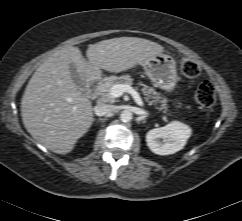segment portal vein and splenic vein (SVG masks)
Wrapping results in <instances>:
<instances>
[{"label": "portal vein and splenic vein", "mask_w": 242, "mask_h": 221, "mask_svg": "<svg viewBox=\"0 0 242 221\" xmlns=\"http://www.w3.org/2000/svg\"><path fill=\"white\" fill-rule=\"evenodd\" d=\"M125 92L131 94L135 100V102L139 106H143V101L139 96L138 92L135 91L130 85L128 84H116L111 88V95L114 98L122 96Z\"/></svg>", "instance_id": "portal-vein-and-splenic-vein-1"}]
</instances>
